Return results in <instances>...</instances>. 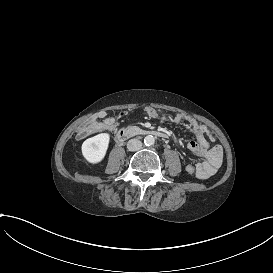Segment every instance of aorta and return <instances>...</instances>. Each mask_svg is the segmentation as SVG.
Returning a JSON list of instances; mask_svg holds the SVG:
<instances>
[{
  "mask_svg": "<svg viewBox=\"0 0 273 273\" xmlns=\"http://www.w3.org/2000/svg\"><path fill=\"white\" fill-rule=\"evenodd\" d=\"M144 143L145 145L147 146H151L155 143V138L154 136L152 135H147L145 138H144Z\"/></svg>",
  "mask_w": 273,
  "mask_h": 273,
  "instance_id": "aorta-1",
  "label": "aorta"
}]
</instances>
